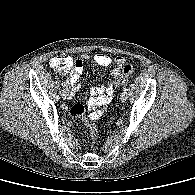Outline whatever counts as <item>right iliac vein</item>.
Segmentation results:
<instances>
[{
  "instance_id": "63e3f726",
  "label": "right iliac vein",
  "mask_w": 195,
  "mask_h": 195,
  "mask_svg": "<svg viewBox=\"0 0 195 195\" xmlns=\"http://www.w3.org/2000/svg\"><path fill=\"white\" fill-rule=\"evenodd\" d=\"M61 95L64 99H66L68 97V91L66 89H63Z\"/></svg>"
}]
</instances>
